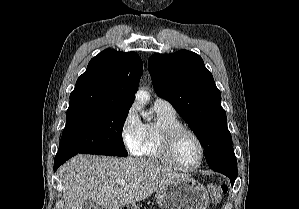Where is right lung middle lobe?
<instances>
[{"instance_id":"1","label":"right lung middle lobe","mask_w":299,"mask_h":209,"mask_svg":"<svg viewBox=\"0 0 299 209\" xmlns=\"http://www.w3.org/2000/svg\"><path fill=\"white\" fill-rule=\"evenodd\" d=\"M128 112L106 106L69 107L58 152L127 156L122 128Z\"/></svg>"}]
</instances>
